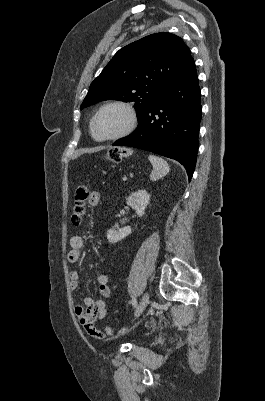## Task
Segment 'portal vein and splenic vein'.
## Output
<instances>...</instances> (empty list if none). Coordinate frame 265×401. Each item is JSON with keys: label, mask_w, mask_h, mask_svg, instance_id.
Returning <instances> with one entry per match:
<instances>
[{"label": "portal vein and splenic vein", "mask_w": 265, "mask_h": 401, "mask_svg": "<svg viewBox=\"0 0 265 401\" xmlns=\"http://www.w3.org/2000/svg\"><path fill=\"white\" fill-rule=\"evenodd\" d=\"M122 180H123V181H127V180H128V177H127V176H123V177H122Z\"/></svg>", "instance_id": "1"}]
</instances>
